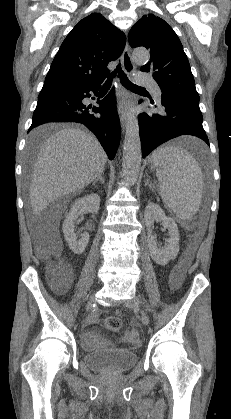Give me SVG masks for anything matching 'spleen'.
Returning <instances> with one entry per match:
<instances>
[{"label": "spleen", "instance_id": "1", "mask_svg": "<svg viewBox=\"0 0 231 419\" xmlns=\"http://www.w3.org/2000/svg\"><path fill=\"white\" fill-rule=\"evenodd\" d=\"M159 190L167 208L182 220H190L199 209L203 175L198 162L186 150L161 146L151 155Z\"/></svg>", "mask_w": 231, "mask_h": 419}]
</instances>
